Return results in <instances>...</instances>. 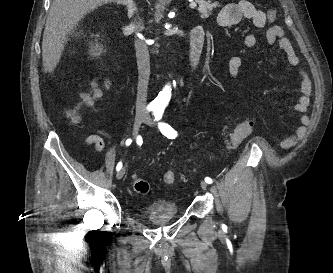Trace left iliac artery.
Returning a JSON list of instances; mask_svg holds the SVG:
<instances>
[{"mask_svg":"<svg viewBox=\"0 0 333 273\" xmlns=\"http://www.w3.org/2000/svg\"><path fill=\"white\" fill-rule=\"evenodd\" d=\"M163 110L155 109L154 110V117L155 121H159L162 118ZM158 127L163 135H165L169 139H175L177 137V132L167 123L159 122ZM205 182L211 184L213 181L211 178L206 177Z\"/></svg>","mask_w":333,"mask_h":273,"instance_id":"left-iliac-artery-1","label":"left iliac artery"}]
</instances>
